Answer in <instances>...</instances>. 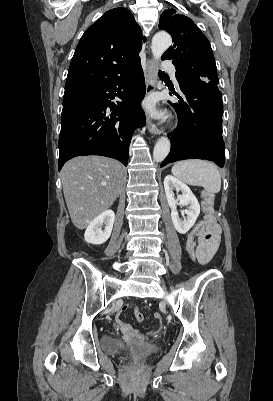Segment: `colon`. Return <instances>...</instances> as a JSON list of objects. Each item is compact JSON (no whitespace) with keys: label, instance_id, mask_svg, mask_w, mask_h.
I'll return each instance as SVG.
<instances>
[{"label":"colon","instance_id":"1","mask_svg":"<svg viewBox=\"0 0 273 401\" xmlns=\"http://www.w3.org/2000/svg\"><path fill=\"white\" fill-rule=\"evenodd\" d=\"M200 227L203 231L202 239L204 241H219L220 233L217 232L219 226L213 216L207 215L203 221L200 223ZM135 319L137 321H142L144 319V314L142 313V308L138 307L135 311Z\"/></svg>","mask_w":273,"mask_h":401}]
</instances>
